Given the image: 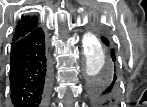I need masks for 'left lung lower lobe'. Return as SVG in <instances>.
<instances>
[{"mask_svg": "<svg viewBox=\"0 0 147 107\" xmlns=\"http://www.w3.org/2000/svg\"><path fill=\"white\" fill-rule=\"evenodd\" d=\"M101 40L106 46L109 58L115 62V52L109 40L105 36H102ZM117 87L118 82L115 72L106 79L92 80V83L88 86L87 93L93 107H117Z\"/></svg>", "mask_w": 147, "mask_h": 107, "instance_id": "1", "label": "left lung lower lobe"}]
</instances>
